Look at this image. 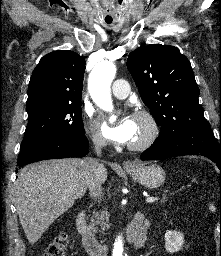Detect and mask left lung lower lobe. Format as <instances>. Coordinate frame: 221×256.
Listing matches in <instances>:
<instances>
[{
	"label": "left lung lower lobe",
	"mask_w": 221,
	"mask_h": 256,
	"mask_svg": "<svg viewBox=\"0 0 221 256\" xmlns=\"http://www.w3.org/2000/svg\"><path fill=\"white\" fill-rule=\"evenodd\" d=\"M184 155H201L215 162L221 171V140L217 142L210 124L204 127H176L168 134L159 135L142 153L141 160H159Z\"/></svg>",
	"instance_id": "left-lung-lower-lobe-1"
}]
</instances>
